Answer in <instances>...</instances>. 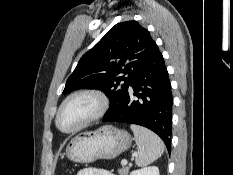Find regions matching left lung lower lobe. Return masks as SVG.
Wrapping results in <instances>:
<instances>
[{
  "instance_id": "0a47b994",
  "label": "left lung lower lobe",
  "mask_w": 233,
  "mask_h": 175,
  "mask_svg": "<svg viewBox=\"0 0 233 175\" xmlns=\"http://www.w3.org/2000/svg\"><path fill=\"white\" fill-rule=\"evenodd\" d=\"M172 104L167 68L161 52L155 47L135 75L120 106L103 117V121L144 126L159 135L170 151Z\"/></svg>"
}]
</instances>
